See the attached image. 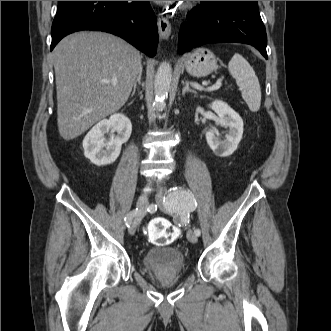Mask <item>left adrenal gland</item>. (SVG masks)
<instances>
[{
	"label": "left adrenal gland",
	"instance_id": "1",
	"mask_svg": "<svg viewBox=\"0 0 331 331\" xmlns=\"http://www.w3.org/2000/svg\"><path fill=\"white\" fill-rule=\"evenodd\" d=\"M183 84H184V87H183V90H182V95H184L186 92H192V93L196 94V91L192 90L189 87V83L187 81L185 83L183 82Z\"/></svg>",
	"mask_w": 331,
	"mask_h": 331
}]
</instances>
